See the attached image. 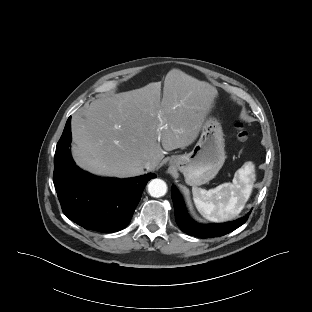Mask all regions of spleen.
<instances>
[{
    "label": "spleen",
    "instance_id": "obj_1",
    "mask_svg": "<svg viewBox=\"0 0 312 312\" xmlns=\"http://www.w3.org/2000/svg\"><path fill=\"white\" fill-rule=\"evenodd\" d=\"M251 169L245 164L235 173L233 182L223 183L214 189L193 187V200L197 210L214 222L230 220L237 216L248 201L251 191Z\"/></svg>",
    "mask_w": 312,
    "mask_h": 312
}]
</instances>
